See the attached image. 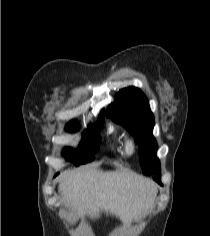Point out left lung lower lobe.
<instances>
[{
    "mask_svg": "<svg viewBox=\"0 0 210 236\" xmlns=\"http://www.w3.org/2000/svg\"><path fill=\"white\" fill-rule=\"evenodd\" d=\"M158 173H160V170L156 174ZM154 180H156L160 185H162L159 177H155Z\"/></svg>",
    "mask_w": 210,
    "mask_h": 236,
    "instance_id": "1",
    "label": "left lung lower lobe"
}]
</instances>
